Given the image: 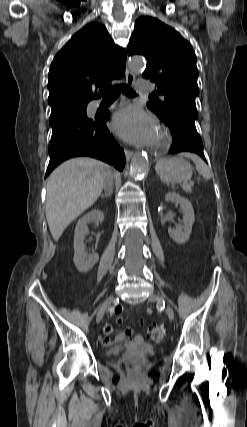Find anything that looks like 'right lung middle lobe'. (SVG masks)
I'll use <instances>...</instances> for the list:
<instances>
[{
  "label": "right lung middle lobe",
  "mask_w": 247,
  "mask_h": 427,
  "mask_svg": "<svg viewBox=\"0 0 247 427\" xmlns=\"http://www.w3.org/2000/svg\"><path fill=\"white\" fill-rule=\"evenodd\" d=\"M67 109L86 110V105H85V106L69 107V108H67Z\"/></svg>",
  "instance_id": "obj_1"
}]
</instances>
